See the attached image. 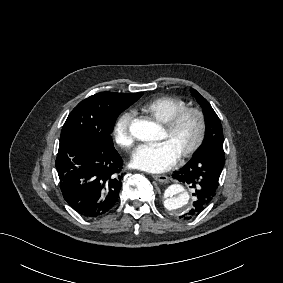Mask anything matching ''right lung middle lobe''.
Listing matches in <instances>:
<instances>
[{
    "instance_id": "dd1d6c3e",
    "label": "right lung middle lobe",
    "mask_w": 283,
    "mask_h": 283,
    "mask_svg": "<svg viewBox=\"0 0 283 283\" xmlns=\"http://www.w3.org/2000/svg\"><path fill=\"white\" fill-rule=\"evenodd\" d=\"M142 92L134 94L101 92L80 102L69 114L60 141L83 138L97 145L113 147L110 136L119 114L136 102Z\"/></svg>"
}]
</instances>
